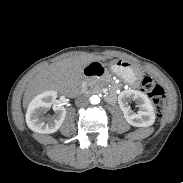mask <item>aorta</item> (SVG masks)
<instances>
[{
  "label": "aorta",
  "mask_w": 183,
  "mask_h": 183,
  "mask_svg": "<svg viewBox=\"0 0 183 183\" xmlns=\"http://www.w3.org/2000/svg\"><path fill=\"white\" fill-rule=\"evenodd\" d=\"M90 102L92 104H98L100 102V98L97 95H93L90 97Z\"/></svg>",
  "instance_id": "obj_1"
}]
</instances>
